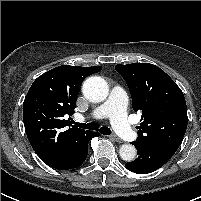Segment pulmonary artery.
Returning a JSON list of instances; mask_svg holds the SVG:
<instances>
[{
  "mask_svg": "<svg viewBox=\"0 0 201 201\" xmlns=\"http://www.w3.org/2000/svg\"><path fill=\"white\" fill-rule=\"evenodd\" d=\"M126 106L127 97L124 90L119 86H114L104 103L87 116H77V120L109 118L113 128L120 137L126 141H135L138 138V134L128 123Z\"/></svg>",
  "mask_w": 201,
  "mask_h": 201,
  "instance_id": "e3ab8cb5",
  "label": "pulmonary artery"
}]
</instances>
